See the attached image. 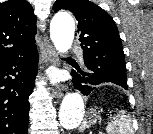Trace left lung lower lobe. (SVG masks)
Returning <instances> with one entry per match:
<instances>
[{
  "label": "left lung lower lobe",
  "instance_id": "1",
  "mask_svg": "<svg viewBox=\"0 0 153 134\" xmlns=\"http://www.w3.org/2000/svg\"><path fill=\"white\" fill-rule=\"evenodd\" d=\"M78 72L79 73L75 71L72 72V75L74 76V86L78 88V90H80L84 95H88L96 88V85L108 82L106 78L92 72H84L80 69ZM123 88L127 89V86H124Z\"/></svg>",
  "mask_w": 153,
  "mask_h": 134
}]
</instances>
